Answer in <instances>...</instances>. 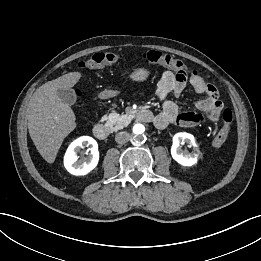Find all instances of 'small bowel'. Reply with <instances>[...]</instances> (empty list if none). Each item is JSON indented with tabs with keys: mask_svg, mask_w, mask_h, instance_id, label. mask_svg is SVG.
Listing matches in <instances>:
<instances>
[{
	"mask_svg": "<svg viewBox=\"0 0 261 261\" xmlns=\"http://www.w3.org/2000/svg\"><path fill=\"white\" fill-rule=\"evenodd\" d=\"M187 83L196 93L204 96L196 102L197 112H181L178 106L168 99L170 94L179 97ZM156 93L162 101V112L153 117V123L158 129H164L170 124L192 127L203 120L216 122L223 109L216 87L198 74L188 78L185 73L164 71Z\"/></svg>",
	"mask_w": 261,
	"mask_h": 261,
	"instance_id": "obj_1",
	"label": "small bowel"
}]
</instances>
